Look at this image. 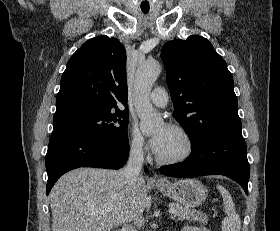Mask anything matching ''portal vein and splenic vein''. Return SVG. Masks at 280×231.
<instances>
[{
	"label": "portal vein and splenic vein",
	"instance_id": "18ae733b",
	"mask_svg": "<svg viewBox=\"0 0 280 231\" xmlns=\"http://www.w3.org/2000/svg\"><path fill=\"white\" fill-rule=\"evenodd\" d=\"M104 211H111L110 207H104V209H99V211H95V215L98 213H104ZM177 211L176 207H170L169 213H175Z\"/></svg>",
	"mask_w": 280,
	"mask_h": 231
}]
</instances>
